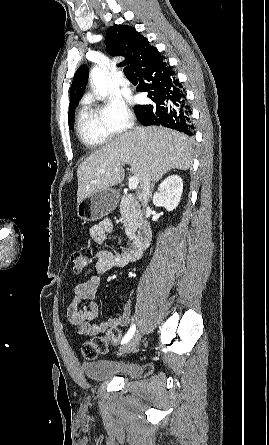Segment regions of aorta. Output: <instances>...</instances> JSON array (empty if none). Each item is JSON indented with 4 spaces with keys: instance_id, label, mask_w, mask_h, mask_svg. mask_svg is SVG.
Instances as JSON below:
<instances>
[{
    "instance_id": "obj_1",
    "label": "aorta",
    "mask_w": 269,
    "mask_h": 445,
    "mask_svg": "<svg viewBox=\"0 0 269 445\" xmlns=\"http://www.w3.org/2000/svg\"><path fill=\"white\" fill-rule=\"evenodd\" d=\"M90 80L99 96L105 98L108 94V83L104 71L98 66L93 67Z\"/></svg>"
}]
</instances>
